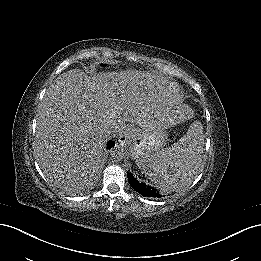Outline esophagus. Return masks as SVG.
Returning <instances> with one entry per match:
<instances>
[{
    "mask_svg": "<svg viewBox=\"0 0 261 261\" xmlns=\"http://www.w3.org/2000/svg\"><path fill=\"white\" fill-rule=\"evenodd\" d=\"M130 139V132L129 131H124L121 135H120V140L121 142L127 143Z\"/></svg>",
    "mask_w": 261,
    "mask_h": 261,
    "instance_id": "obj_1",
    "label": "esophagus"
}]
</instances>
